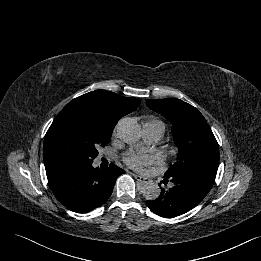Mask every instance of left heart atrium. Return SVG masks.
<instances>
[{
  "instance_id": "obj_1",
  "label": "left heart atrium",
  "mask_w": 261,
  "mask_h": 261,
  "mask_svg": "<svg viewBox=\"0 0 261 261\" xmlns=\"http://www.w3.org/2000/svg\"><path fill=\"white\" fill-rule=\"evenodd\" d=\"M124 162L131 168L140 170L150 162L147 155L129 152L124 156Z\"/></svg>"
}]
</instances>
